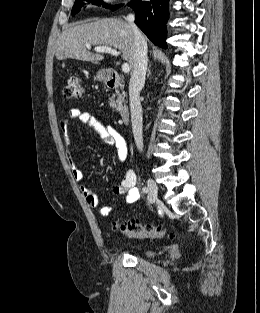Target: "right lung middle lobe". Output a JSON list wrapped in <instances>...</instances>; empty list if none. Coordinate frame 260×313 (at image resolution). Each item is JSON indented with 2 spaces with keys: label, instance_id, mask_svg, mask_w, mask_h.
Segmentation results:
<instances>
[{
  "label": "right lung middle lobe",
  "instance_id": "1",
  "mask_svg": "<svg viewBox=\"0 0 260 313\" xmlns=\"http://www.w3.org/2000/svg\"><path fill=\"white\" fill-rule=\"evenodd\" d=\"M85 1H88V2H92V4H101L102 0H85ZM100 2V3H98ZM103 3V2H102ZM84 5V3L81 1V0H76L75 3H74V6L72 8V15H74L75 13H77L81 7ZM103 5L106 7V8H110L112 10H116L117 8H119L121 5H116V6H110V5H107L105 3H103Z\"/></svg>",
  "mask_w": 260,
  "mask_h": 313
}]
</instances>
